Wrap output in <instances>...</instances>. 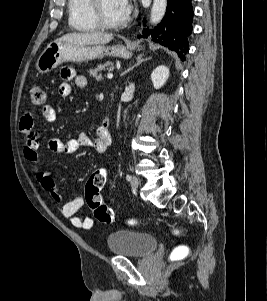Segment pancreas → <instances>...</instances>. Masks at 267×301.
Wrapping results in <instances>:
<instances>
[{"label":"pancreas","instance_id":"obj_1","mask_svg":"<svg viewBox=\"0 0 267 301\" xmlns=\"http://www.w3.org/2000/svg\"><path fill=\"white\" fill-rule=\"evenodd\" d=\"M114 65L112 62H106L105 64H99L95 68L89 70L90 75L93 76L97 81L102 80V72L105 70H113Z\"/></svg>","mask_w":267,"mask_h":301}]
</instances>
